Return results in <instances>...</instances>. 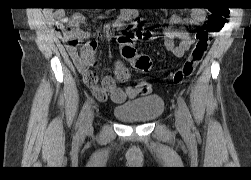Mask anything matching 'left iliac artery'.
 I'll return each mask as SVG.
<instances>
[{
  "label": "left iliac artery",
  "instance_id": "1",
  "mask_svg": "<svg viewBox=\"0 0 251 180\" xmlns=\"http://www.w3.org/2000/svg\"><path fill=\"white\" fill-rule=\"evenodd\" d=\"M177 101H178V106H179L180 111L183 113V115L186 118L187 124L192 125V117L186 105V102L184 101L182 97H178Z\"/></svg>",
  "mask_w": 251,
  "mask_h": 180
}]
</instances>
